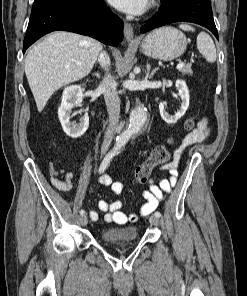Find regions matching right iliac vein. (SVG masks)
<instances>
[{
  "label": "right iliac vein",
  "mask_w": 247,
  "mask_h": 296,
  "mask_svg": "<svg viewBox=\"0 0 247 296\" xmlns=\"http://www.w3.org/2000/svg\"><path fill=\"white\" fill-rule=\"evenodd\" d=\"M80 222H81L82 225H86L87 222H88V217H87V215H82V216L80 217Z\"/></svg>",
  "instance_id": "obj_1"
}]
</instances>
